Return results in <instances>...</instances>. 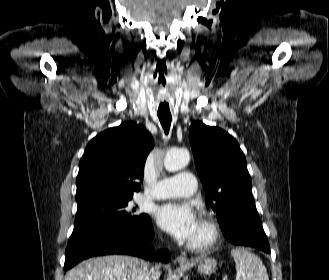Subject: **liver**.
<instances>
[{
  "mask_svg": "<svg viewBox=\"0 0 329 280\" xmlns=\"http://www.w3.org/2000/svg\"><path fill=\"white\" fill-rule=\"evenodd\" d=\"M147 263L141 259L122 255L95 257L70 270L65 280H139ZM160 276L159 268L154 280Z\"/></svg>",
  "mask_w": 329,
  "mask_h": 280,
  "instance_id": "liver-1",
  "label": "liver"
}]
</instances>
